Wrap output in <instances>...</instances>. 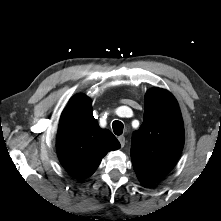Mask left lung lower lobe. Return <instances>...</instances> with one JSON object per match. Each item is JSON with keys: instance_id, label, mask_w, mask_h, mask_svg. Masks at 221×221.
Masks as SVG:
<instances>
[{"instance_id": "1", "label": "left lung lower lobe", "mask_w": 221, "mask_h": 221, "mask_svg": "<svg viewBox=\"0 0 221 221\" xmlns=\"http://www.w3.org/2000/svg\"><path fill=\"white\" fill-rule=\"evenodd\" d=\"M138 179L140 180V182L143 185H146V186H149V185H151L153 183V182H150L149 180L143 179L142 177H138Z\"/></svg>"}]
</instances>
